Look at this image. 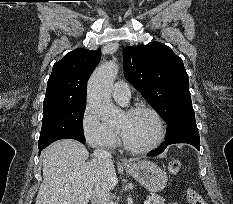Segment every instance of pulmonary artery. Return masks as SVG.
<instances>
[{
  "mask_svg": "<svg viewBox=\"0 0 233 204\" xmlns=\"http://www.w3.org/2000/svg\"><path fill=\"white\" fill-rule=\"evenodd\" d=\"M112 94L117 102L124 105L129 102L131 97V92L128 84L122 81H118L114 84Z\"/></svg>",
  "mask_w": 233,
  "mask_h": 204,
  "instance_id": "e3ab8cb5",
  "label": "pulmonary artery"
}]
</instances>
